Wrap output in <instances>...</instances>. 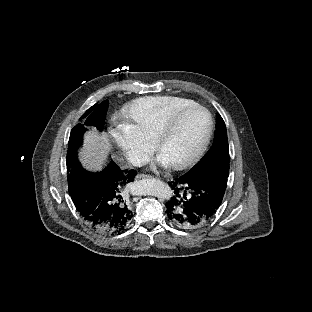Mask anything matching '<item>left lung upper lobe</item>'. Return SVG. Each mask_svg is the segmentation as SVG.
<instances>
[{
    "mask_svg": "<svg viewBox=\"0 0 312 312\" xmlns=\"http://www.w3.org/2000/svg\"><path fill=\"white\" fill-rule=\"evenodd\" d=\"M212 167L229 168L227 131L225 123L220 115H218L217 132L213 146L187 174H194Z\"/></svg>",
    "mask_w": 312,
    "mask_h": 312,
    "instance_id": "obj_1",
    "label": "left lung upper lobe"
}]
</instances>
